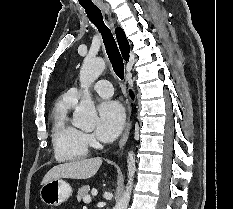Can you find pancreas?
Returning a JSON list of instances; mask_svg holds the SVG:
<instances>
[{
	"label": "pancreas",
	"mask_w": 233,
	"mask_h": 209,
	"mask_svg": "<svg viewBox=\"0 0 233 209\" xmlns=\"http://www.w3.org/2000/svg\"><path fill=\"white\" fill-rule=\"evenodd\" d=\"M89 191H90V186L88 185H84L81 188H79L77 192V200L81 201L82 199H84L86 196H88Z\"/></svg>",
	"instance_id": "obj_1"
}]
</instances>
